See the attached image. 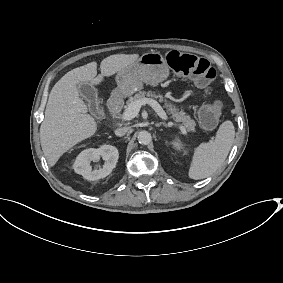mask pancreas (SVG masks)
I'll list each match as a JSON object with an SVG mask.
<instances>
[{"instance_id": "1", "label": "pancreas", "mask_w": 283, "mask_h": 283, "mask_svg": "<svg viewBox=\"0 0 283 283\" xmlns=\"http://www.w3.org/2000/svg\"><path fill=\"white\" fill-rule=\"evenodd\" d=\"M147 97H153V98H159V102H165L164 107L167 109V111L172 114V117L175 119L176 122H182L184 127L187 129V131H193L195 132V126L196 123L193 119L190 118V116L186 115L185 112L179 111L174 105L164 100V97L162 95H156L152 91H140L139 93L135 94L133 97H130L126 104L129 105L132 102H136L139 100H142ZM124 106V101L120 99V103L117 107H111L109 106V111L113 116L119 115L121 109Z\"/></svg>"}]
</instances>
